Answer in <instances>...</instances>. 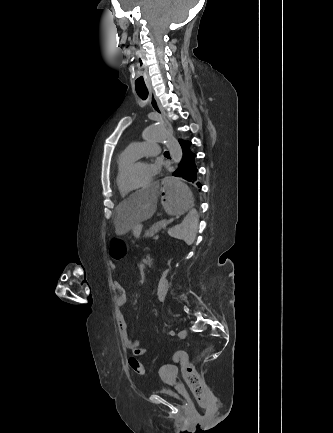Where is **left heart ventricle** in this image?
Listing matches in <instances>:
<instances>
[{
  "instance_id": "b2bd125f",
  "label": "left heart ventricle",
  "mask_w": 333,
  "mask_h": 433,
  "mask_svg": "<svg viewBox=\"0 0 333 433\" xmlns=\"http://www.w3.org/2000/svg\"><path fill=\"white\" fill-rule=\"evenodd\" d=\"M149 165L145 162L135 166L127 177L128 186L137 187L149 181Z\"/></svg>"
}]
</instances>
